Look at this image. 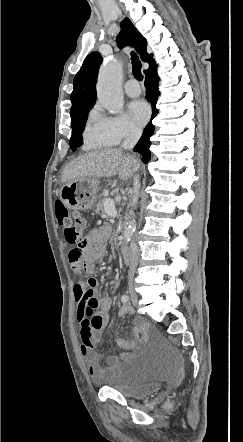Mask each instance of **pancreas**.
I'll return each instance as SVG.
<instances>
[{"label": "pancreas", "instance_id": "cf45deb5", "mask_svg": "<svg viewBox=\"0 0 243 442\" xmlns=\"http://www.w3.org/2000/svg\"><path fill=\"white\" fill-rule=\"evenodd\" d=\"M107 201H114V200H112V199H110V198H103V199H101V200L97 203V205H96V213H98V214H102V215L105 214L104 204H105V202H107Z\"/></svg>", "mask_w": 243, "mask_h": 442}]
</instances>
